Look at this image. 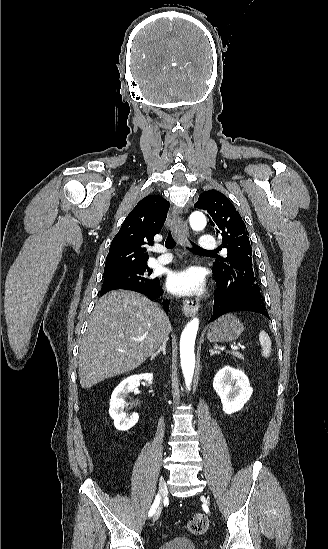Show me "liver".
I'll list each match as a JSON object with an SVG mask.
<instances>
[{
  "mask_svg": "<svg viewBox=\"0 0 328 549\" xmlns=\"http://www.w3.org/2000/svg\"><path fill=\"white\" fill-rule=\"evenodd\" d=\"M171 323L157 303L133 291H111L96 303L80 343L79 381L90 389L133 371L168 341ZM144 337L143 341H134Z\"/></svg>",
  "mask_w": 328,
  "mask_h": 549,
  "instance_id": "1",
  "label": "liver"
}]
</instances>
